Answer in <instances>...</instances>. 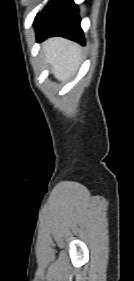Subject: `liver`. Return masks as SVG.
I'll return each mask as SVG.
<instances>
[{
    "label": "liver",
    "mask_w": 134,
    "mask_h": 281,
    "mask_svg": "<svg viewBox=\"0 0 134 281\" xmlns=\"http://www.w3.org/2000/svg\"><path fill=\"white\" fill-rule=\"evenodd\" d=\"M43 50L46 63L58 80L67 81L75 74L81 59L77 44L63 38H51L44 43Z\"/></svg>",
    "instance_id": "liver-1"
}]
</instances>
